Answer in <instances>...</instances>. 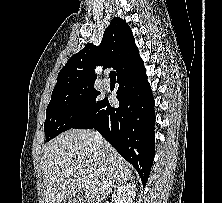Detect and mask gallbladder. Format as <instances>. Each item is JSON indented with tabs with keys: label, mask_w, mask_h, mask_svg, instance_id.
Masks as SVG:
<instances>
[{
	"label": "gallbladder",
	"mask_w": 222,
	"mask_h": 203,
	"mask_svg": "<svg viewBox=\"0 0 222 203\" xmlns=\"http://www.w3.org/2000/svg\"><path fill=\"white\" fill-rule=\"evenodd\" d=\"M60 203H84V201H79L78 198H72V199H64Z\"/></svg>",
	"instance_id": "bac80fb5"
}]
</instances>
